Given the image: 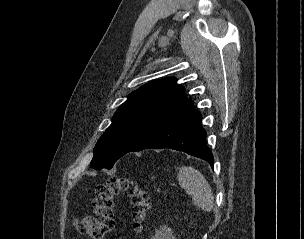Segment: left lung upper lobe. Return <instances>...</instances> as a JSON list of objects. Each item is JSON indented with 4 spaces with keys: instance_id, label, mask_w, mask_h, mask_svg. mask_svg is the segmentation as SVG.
<instances>
[{
    "instance_id": "5c2ea615",
    "label": "left lung upper lobe",
    "mask_w": 304,
    "mask_h": 239,
    "mask_svg": "<svg viewBox=\"0 0 304 239\" xmlns=\"http://www.w3.org/2000/svg\"><path fill=\"white\" fill-rule=\"evenodd\" d=\"M175 78L149 82L132 92L118 108L98 140L91 167L111 169L114 163L167 121L193 105Z\"/></svg>"
}]
</instances>
